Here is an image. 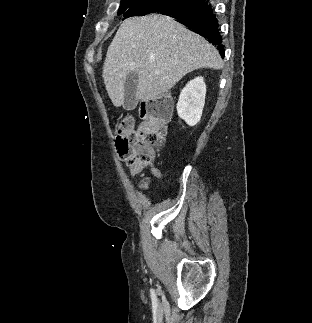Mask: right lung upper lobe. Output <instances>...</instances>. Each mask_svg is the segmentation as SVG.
I'll list each match as a JSON object with an SVG mask.
<instances>
[{
  "mask_svg": "<svg viewBox=\"0 0 312 323\" xmlns=\"http://www.w3.org/2000/svg\"><path fill=\"white\" fill-rule=\"evenodd\" d=\"M169 12H171V11H166V12H164V13H169Z\"/></svg>",
  "mask_w": 312,
  "mask_h": 323,
  "instance_id": "1",
  "label": "right lung upper lobe"
}]
</instances>
